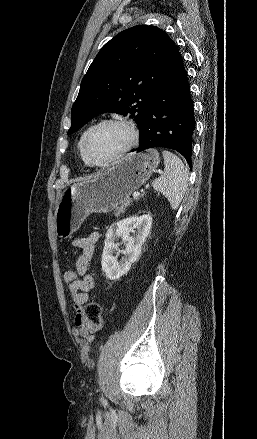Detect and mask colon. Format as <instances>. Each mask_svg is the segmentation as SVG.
Listing matches in <instances>:
<instances>
[{
  "mask_svg": "<svg viewBox=\"0 0 257 439\" xmlns=\"http://www.w3.org/2000/svg\"><path fill=\"white\" fill-rule=\"evenodd\" d=\"M64 280L69 286L73 285L77 280L76 272L72 270L66 271L64 273ZM82 316L94 329L99 330L103 327L104 320L99 303L95 301L87 303L82 309Z\"/></svg>",
  "mask_w": 257,
  "mask_h": 439,
  "instance_id": "5ec220e1",
  "label": "colon"
}]
</instances>
